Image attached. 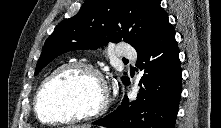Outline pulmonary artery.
I'll return each instance as SVG.
<instances>
[{"label": "pulmonary artery", "instance_id": "1", "mask_svg": "<svg viewBox=\"0 0 221 128\" xmlns=\"http://www.w3.org/2000/svg\"><path fill=\"white\" fill-rule=\"evenodd\" d=\"M116 53L119 57L136 59L137 55L135 51L124 44H119L116 47Z\"/></svg>", "mask_w": 221, "mask_h": 128}]
</instances>
